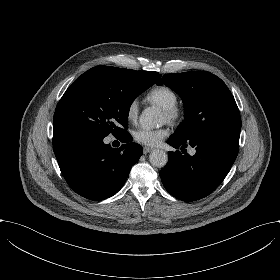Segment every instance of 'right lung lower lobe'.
Wrapping results in <instances>:
<instances>
[{"instance_id": "98d812e1", "label": "right lung lower lobe", "mask_w": 280, "mask_h": 280, "mask_svg": "<svg viewBox=\"0 0 280 280\" xmlns=\"http://www.w3.org/2000/svg\"><path fill=\"white\" fill-rule=\"evenodd\" d=\"M104 138L86 135H63L53 140L54 153L61 173L71 189L89 200L100 201L113 196L124 185L132 166L143 153L126 131L123 144L112 148Z\"/></svg>"}]
</instances>
